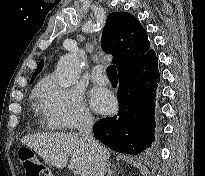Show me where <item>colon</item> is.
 <instances>
[{
    "label": "colon",
    "instance_id": "1",
    "mask_svg": "<svg viewBox=\"0 0 205 176\" xmlns=\"http://www.w3.org/2000/svg\"><path fill=\"white\" fill-rule=\"evenodd\" d=\"M25 168V176H50V171L31 151L24 152L20 157Z\"/></svg>",
    "mask_w": 205,
    "mask_h": 176
}]
</instances>
